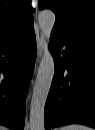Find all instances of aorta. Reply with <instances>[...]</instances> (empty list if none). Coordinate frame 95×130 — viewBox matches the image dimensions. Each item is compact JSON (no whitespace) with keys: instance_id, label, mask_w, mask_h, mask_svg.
<instances>
[{"instance_id":"762f6f07","label":"aorta","mask_w":95,"mask_h":130,"mask_svg":"<svg viewBox=\"0 0 95 130\" xmlns=\"http://www.w3.org/2000/svg\"><path fill=\"white\" fill-rule=\"evenodd\" d=\"M39 27L49 41L55 23V14L51 10H42L38 14ZM54 76V60L47 49L43 54L30 104V130H44V108Z\"/></svg>"}]
</instances>
